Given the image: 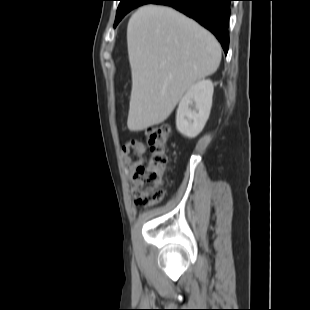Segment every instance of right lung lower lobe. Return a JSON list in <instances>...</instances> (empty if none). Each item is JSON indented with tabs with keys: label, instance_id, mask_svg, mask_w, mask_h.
I'll list each match as a JSON object with an SVG mask.
<instances>
[{
	"label": "right lung lower lobe",
	"instance_id": "98d812e1",
	"mask_svg": "<svg viewBox=\"0 0 310 310\" xmlns=\"http://www.w3.org/2000/svg\"><path fill=\"white\" fill-rule=\"evenodd\" d=\"M231 1L233 0H153L151 3L173 7L193 18L216 36L227 53Z\"/></svg>",
	"mask_w": 310,
	"mask_h": 310
}]
</instances>
